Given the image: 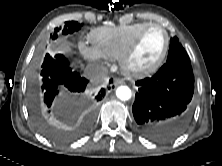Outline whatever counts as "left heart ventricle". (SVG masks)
I'll use <instances>...</instances> for the list:
<instances>
[{"instance_id": "left-heart-ventricle-1", "label": "left heart ventricle", "mask_w": 222, "mask_h": 166, "mask_svg": "<svg viewBox=\"0 0 222 166\" xmlns=\"http://www.w3.org/2000/svg\"><path fill=\"white\" fill-rule=\"evenodd\" d=\"M164 44V32L156 27L149 29L131 55L129 65L134 69H144L151 66L160 56Z\"/></svg>"}]
</instances>
